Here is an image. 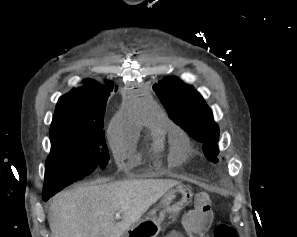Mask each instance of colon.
Returning a JSON list of instances; mask_svg holds the SVG:
<instances>
[{"label": "colon", "mask_w": 297, "mask_h": 237, "mask_svg": "<svg viewBox=\"0 0 297 237\" xmlns=\"http://www.w3.org/2000/svg\"><path fill=\"white\" fill-rule=\"evenodd\" d=\"M213 223L212 199L207 192L195 195L194 208L183 219V228L189 237H206ZM170 237H182L180 232ZM214 237H238L236 230L227 224H219L214 230Z\"/></svg>", "instance_id": "5ec220e1"}]
</instances>
